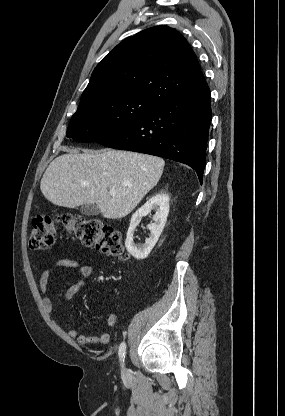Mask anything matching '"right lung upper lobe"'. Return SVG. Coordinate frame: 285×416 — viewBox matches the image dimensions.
<instances>
[{"label": "right lung upper lobe", "mask_w": 285, "mask_h": 416, "mask_svg": "<svg viewBox=\"0 0 285 416\" xmlns=\"http://www.w3.org/2000/svg\"><path fill=\"white\" fill-rule=\"evenodd\" d=\"M207 86L183 35L168 26H157L126 38L103 58L78 109L131 96L160 106Z\"/></svg>", "instance_id": "cb5924a9"}]
</instances>
